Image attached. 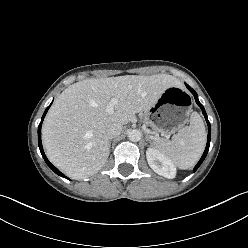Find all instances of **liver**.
I'll return each mask as SVG.
<instances>
[{
	"mask_svg": "<svg viewBox=\"0 0 248 248\" xmlns=\"http://www.w3.org/2000/svg\"><path fill=\"white\" fill-rule=\"evenodd\" d=\"M172 86H180V81L168 74L91 78L74 83L54 101L43 123L48 159L72 179L97 173L109 156L108 126L126 125ZM111 98L118 100L112 114L106 111Z\"/></svg>",
	"mask_w": 248,
	"mask_h": 248,
	"instance_id": "liver-1",
	"label": "liver"
}]
</instances>
